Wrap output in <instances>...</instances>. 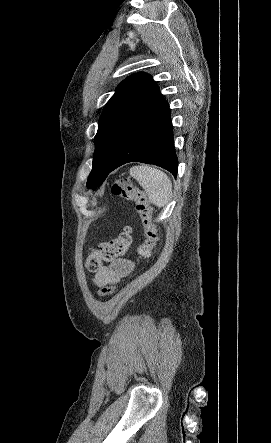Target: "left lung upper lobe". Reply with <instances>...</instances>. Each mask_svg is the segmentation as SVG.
Masks as SVG:
<instances>
[{"instance_id": "obj_1", "label": "left lung upper lobe", "mask_w": 271, "mask_h": 443, "mask_svg": "<svg viewBox=\"0 0 271 443\" xmlns=\"http://www.w3.org/2000/svg\"><path fill=\"white\" fill-rule=\"evenodd\" d=\"M155 84L150 75L141 72L131 75L117 87L99 119L88 188L95 189L110 173L126 128Z\"/></svg>"}]
</instances>
